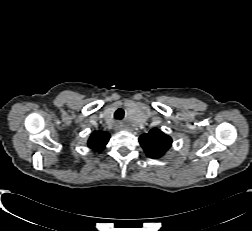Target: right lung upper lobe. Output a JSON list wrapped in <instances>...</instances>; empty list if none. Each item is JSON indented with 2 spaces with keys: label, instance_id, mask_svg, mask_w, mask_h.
<instances>
[{
  "label": "right lung upper lobe",
  "instance_id": "obj_1",
  "mask_svg": "<svg viewBox=\"0 0 252 231\" xmlns=\"http://www.w3.org/2000/svg\"><path fill=\"white\" fill-rule=\"evenodd\" d=\"M110 134L104 131L93 132L88 140V146L98 152L104 149L109 141Z\"/></svg>",
  "mask_w": 252,
  "mask_h": 231
}]
</instances>
